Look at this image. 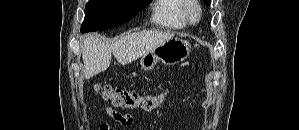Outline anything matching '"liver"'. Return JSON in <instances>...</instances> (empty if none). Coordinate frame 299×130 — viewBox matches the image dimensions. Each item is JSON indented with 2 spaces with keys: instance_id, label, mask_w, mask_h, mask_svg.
I'll use <instances>...</instances> for the list:
<instances>
[{
  "instance_id": "obj_1",
  "label": "liver",
  "mask_w": 299,
  "mask_h": 130,
  "mask_svg": "<svg viewBox=\"0 0 299 130\" xmlns=\"http://www.w3.org/2000/svg\"><path fill=\"white\" fill-rule=\"evenodd\" d=\"M173 37L171 32L144 30L122 36L111 44L104 36L88 34L82 38L85 78L105 71L110 66L112 54L119 64L126 65Z\"/></svg>"
}]
</instances>
